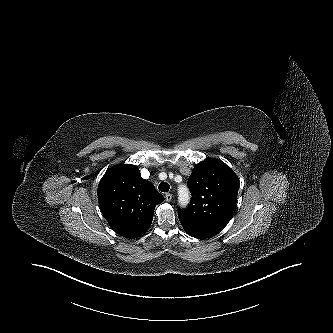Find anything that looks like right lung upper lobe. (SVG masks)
I'll list each match as a JSON object with an SVG mask.
<instances>
[{"mask_svg": "<svg viewBox=\"0 0 333 333\" xmlns=\"http://www.w3.org/2000/svg\"><path fill=\"white\" fill-rule=\"evenodd\" d=\"M98 199L110 227L130 239L146 232L155 206L164 201L135 165H118L106 172L98 185Z\"/></svg>", "mask_w": 333, "mask_h": 333, "instance_id": "1", "label": "right lung upper lobe"}]
</instances>
